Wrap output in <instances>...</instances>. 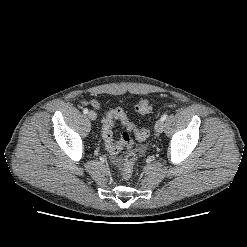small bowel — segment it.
Listing matches in <instances>:
<instances>
[{"label":"small bowel","mask_w":247,"mask_h":247,"mask_svg":"<svg viewBox=\"0 0 247 247\" xmlns=\"http://www.w3.org/2000/svg\"><path fill=\"white\" fill-rule=\"evenodd\" d=\"M91 105L96 108V109H99V103L95 100H92L91 102ZM112 162L114 165L118 166L120 164V160L119 158L117 157V155H112Z\"/></svg>","instance_id":"small-bowel-1"}]
</instances>
